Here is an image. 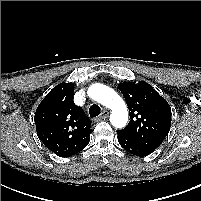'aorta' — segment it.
I'll use <instances>...</instances> for the list:
<instances>
[{
	"instance_id": "1",
	"label": "aorta",
	"mask_w": 201,
	"mask_h": 201,
	"mask_svg": "<svg viewBox=\"0 0 201 201\" xmlns=\"http://www.w3.org/2000/svg\"><path fill=\"white\" fill-rule=\"evenodd\" d=\"M88 95L98 103L112 110L110 122L116 128H123L128 121L127 107L122 98L110 87L94 84L88 89Z\"/></svg>"
}]
</instances>
